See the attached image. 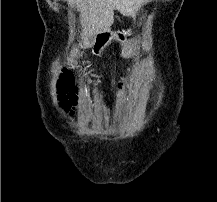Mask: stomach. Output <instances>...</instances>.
I'll list each match as a JSON object with an SVG mask.
<instances>
[{"mask_svg":"<svg viewBox=\"0 0 217 202\" xmlns=\"http://www.w3.org/2000/svg\"><path fill=\"white\" fill-rule=\"evenodd\" d=\"M134 52V44H132V42H124V48H122V58H131Z\"/></svg>","mask_w":217,"mask_h":202,"instance_id":"obj_1","label":"stomach"}]
</instances>
